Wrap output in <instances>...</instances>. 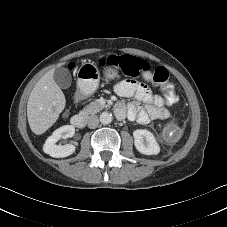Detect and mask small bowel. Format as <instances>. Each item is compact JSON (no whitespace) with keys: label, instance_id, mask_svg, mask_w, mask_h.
<instances>
[{"label":"small bowel","instance_id":"1","mask_svg":"<svg viewBox=\"0 0 227 227\" xmlns=\"http://www.w3.org/2000/svg\"><path fill=\"white\" fill-rule=\"evenodd\" d=\"M114 91L121 98L134 97L144 104L143 107H140L138 103L119 104L116 110L118 118L127 116L128 119L136 120L140 124H148L152 120H166L171 117V111L165 106V100L155 95L145 83L125 79L114 86Z\"/></svg>","mask_w":227,"mask_h":227}]
</instances>
